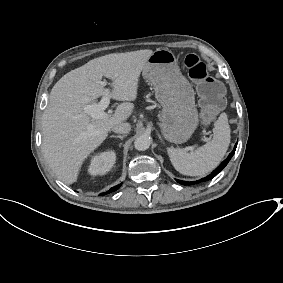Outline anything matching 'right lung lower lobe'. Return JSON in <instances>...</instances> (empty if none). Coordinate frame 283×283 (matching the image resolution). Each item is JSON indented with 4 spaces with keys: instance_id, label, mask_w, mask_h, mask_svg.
I'll return each instance as SVG.
<instances>
[{
    "instance_id": "right-lung-lower-lobe-1",
    "label": "right lung lower lobe",
    "mask_w": 283,
    "mask_h": 283,
    "mask_svg": "<svg viewBox=\"0 0 283 283\" xmlns=\"http://www.w3.org/2000/svg\"><path fill=\"white\" fill-rule=\"evenodd\" d=\"M121 186V184L111 188L109 191L105 192V193H102L101 195H105V194H108V193H111L113 191H116L119 187Z\"/></svg>"
}]
</instances>
